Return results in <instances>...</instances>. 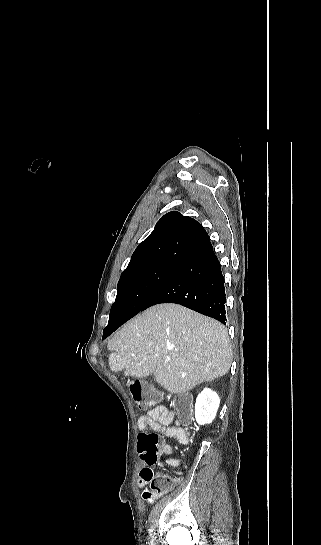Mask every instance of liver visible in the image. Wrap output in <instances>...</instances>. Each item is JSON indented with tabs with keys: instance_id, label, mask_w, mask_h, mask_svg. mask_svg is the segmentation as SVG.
<instances>
[{
	"instance_id": "6515ba94",
	"label": "liver",
	"mask_w": 321,
	"mask_h": 545,
	"mask_svg": "<svg viewBox=\"0 0 321 545\" xmlns=\"http://www.w3.org/2000/svg\"><path fill=\"white\" fill-rule=\"evenodd\" d=\"M111 371L145 379L154 375L168 393L229 373L233 355L226 327L181 305L150 307L126 323L107 345Z\"/></svg>"
}]
</instances>
